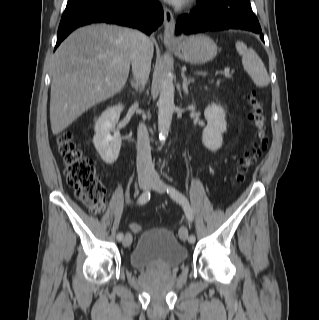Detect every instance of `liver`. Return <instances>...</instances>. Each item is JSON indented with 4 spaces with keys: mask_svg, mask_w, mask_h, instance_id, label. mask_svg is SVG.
<instances>
[{
    "mask_svg": "<svg viewBox=\"0 0 319 320\" xmlns=\"http://www.w3.org/2000/svg\"><path fill=\"white\" fill-rule=\"evenodd\" d=\"M129 28L105 23L81 27L56 50L51 66L50 122L54 135L126 84L132 50ZM154 46L150 42L153 56Z\"/></svg>",
    "mask_w": 319,
    "mask_h": 320,
    "instance_id": "6515ba94",
    "label": "liver"
}]
</instances>
